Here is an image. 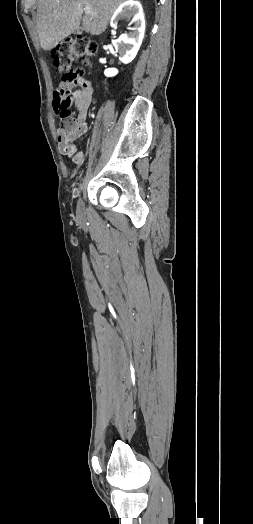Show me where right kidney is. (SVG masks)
Wrapping results in <instances>:
<instances>
[{"mask_svg": "<svg viewBox=\"0 0 253 524\" xmlns=\"http://www.w3.org/2000/svg\"><path fill=\"white\" fill-rule=\"evenodd\" d=\"M121 19L131 20L134 27L129 34H122L113 45L118 53L119 60L124 63H130L141 46L145 33V19L143 9L138 1L128 0L121 4L111 18L110 25L116 28ZM117 69H106L104 74L107 77L115 76Z\"/></svg>", "mask_w": 253, "mask_h": 524, "instance_id": "1", "label": "right kidney"}]
</instances>
